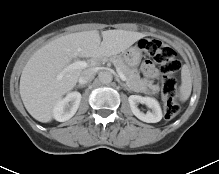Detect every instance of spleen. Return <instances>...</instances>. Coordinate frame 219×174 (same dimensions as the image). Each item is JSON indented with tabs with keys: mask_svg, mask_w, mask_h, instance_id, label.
Segmentation results:
<instances>
[{
	"mask_svg": "<svg viewBox=\"0 0 219 174\" xmlns=\"http://www.w3.org/2000/svg\"><path fill=\"white\" fill-rule=\"evenodd\" d=\"M182 84L180 86V99L185 101L189 98L192 89L191 77L187 65L182 67L181 71Z\"/></svg>",
	"mask_w": 219,
	"mask_h": 174,
	"instance_id": "obj_1",
	"label": "spleen"
}]
</instances>
